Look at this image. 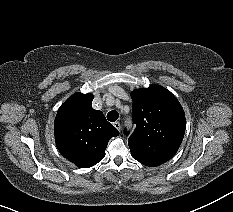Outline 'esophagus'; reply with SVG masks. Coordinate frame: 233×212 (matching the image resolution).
<instances>
[{"label": "esophagus", "instance_id": "1", "mask_svg": "<svg viewBox=\"0 0 233 212\" xmlns=\"http://www.w3.org/2000/svg\"><path fill=\"white\" fill-rule=\"evenodd\" d=\"M113 125H114V127H115L118 131L121 130V124H120V122L116 121V122L113 123Z\"/></svg>", "mask_w": 233, "mask_h": 212}]
</instances>
